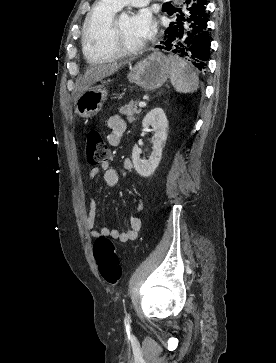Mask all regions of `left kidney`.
Returning a JSON list of instances; mask_svg holds the SVG:
<instances>
[{
    "label": "left kidney",
    "instance_id": "1",
    "mask_svg": "<svg viewBox=\"0 0 276 363\" xmlns=\"http://www.w3.org/2000/svg\"><path fill=\"white\" fill-rule=\"evenodd\" d=\"M142 126L144 128L151 127L154 132L152 137L153 150L148 160H142L141 150L135 144L132 151V161L140 176L149 177L154 173L161 161L162 150L167 140L168 120L163 109L157 107L147 113L142 121Z\"/></svg>",
    "mask_w": 276,
    "mask_h": 363
}]
</instances>
